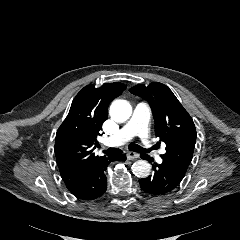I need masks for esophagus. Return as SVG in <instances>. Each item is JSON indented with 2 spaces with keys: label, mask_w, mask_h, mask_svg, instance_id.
Instances as JSON below:
<instances>
[{
  "label": "esophagus",
  "mask_w": 240,
  "mask_h": 240,
  "mask_svg": "<svg viewBox=\"0 0 240 240\" xmlns=\"http://www.w3.org/2000/svg\"><path fill=\"white\" fill-rule=\"evenodd\" d=\"M126 156H127V159H128V160H133V159L138 158V157H139V154L136 153V152H133V151H128L127 154H126Z\"/></svg>",
  "instance_id": "esophagus-1"
}]
</instances>
